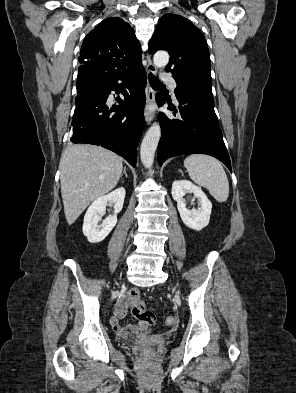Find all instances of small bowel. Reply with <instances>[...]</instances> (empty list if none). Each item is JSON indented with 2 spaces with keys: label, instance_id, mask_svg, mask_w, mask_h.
<instances>
[{
  "label": "small bowel",
  "instance_id": "1",
  "mask_svg": "<svg viewBox=\"0 0 296 393\" xmlns=\"http://www.w3.org/2000/svg\"><path fill=\"white\" fill-rule=\"evenodd\" d=\"M135 299H140V293L137 289H131L121 296L118 304L114 309L113 317L111 318V326L113 330L121 337L129 335L141 336L144 335L148 330V325L144 322L129 324L126 326L119 324V320L122 319L126 314L128 302Z\"/></svg>",
  "mask_w": 296,
  "mask_h": 393
}]
</instances>
